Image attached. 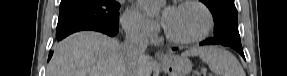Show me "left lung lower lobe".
Listing matches in <instances>:
<instances>
[{
	"instance_id": "1",
	"label": "left lung lower lobe",
	"mask_w": 287,
	"mask_h": 76,
	"mask_svg": "<svg viewBox=\"0 0 287 76\" xmlns=\"http://www.w3.org/2000/svg\"><path fill=\"white\" fill-rule=\"evenodd\" d=\"M201 45H210V44H221L220 42L216 41L215 39H206L205 41L200 43ZM224 45V44H221ZM234 48L236 51H238L243 57L244 53L242 50V46L239 44H233V45H225ZM173 50H177V48H174Z\"/></svg>"
}]
</instances>
